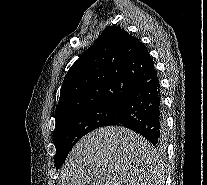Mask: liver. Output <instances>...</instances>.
Segmentation results:
<instances>
[{
    "mask_svg": "<svg viewBox=\"0 0 207 185\" xmlns=\"http://www.w3.org/2000/svg\"><path fill=\"white\" fill-rule=\"evenodd\" d=\"M155 153L151 143L131 129L99 127L71 149L62 185H152Z\"/></svg>",
    "mask_w": 207,
    "mask_h": 185,
    "instance_id": "obj_1",
    "label": "liver"
}]
</instances>
